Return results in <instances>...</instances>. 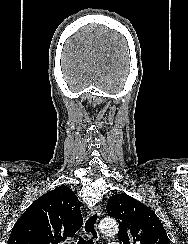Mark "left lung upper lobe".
Returning <instances> with one entry per match:
<instances>
[{"label":"left lung upper lobe","mask_w":188,"mask_h":244,"mask_svg":"<svg viewBox=\"0 0 188 244\" xmlns=\"http://www.w3.org/2000/svg\"><path fill=\"white\" fill-rule=\"evenodd\" d=\"M106 210L109 216L118 221V239L123 244H170L153 210L129 195H112Z\"/></svg>","instance_id":"1"}]
</instances>
